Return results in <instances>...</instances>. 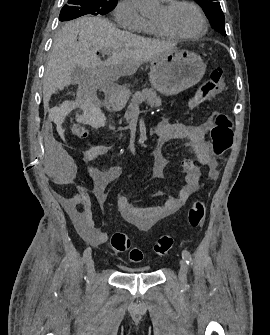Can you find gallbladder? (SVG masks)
I'll return each mask as SVG.
<instances>
[{
	"label": "gallbladder",
	"instance_id": "1",
	"mask_svg": "<svg viewBox=\"0 0 270 335\" xmlns=\"http://www.w3.org/2000/svg\"><path fill=\"white\" fill-rule=\"evenodd\" d=\"M84 70H82V68H73V70H71V78L72 80H74V82H79L82 74H83Z\"/></svg>",
	"mask_w": 270,
	"mask_h": 335
}]
</instances>
